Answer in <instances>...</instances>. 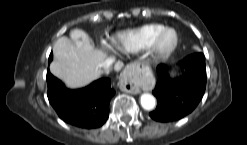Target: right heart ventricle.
<instances>
[{
	"instance_id": "obj_1",
	"label": "right heart ventricle",
	"mask_w": 247,
	"mask_h": 145,
	"mask_svg": "<svg viewBox=\"0 0 247 145\" xmlns=\"http://www.w3.org/2000/svg\"><path fill=\"white\" fill-rule=\"evenodd\" d=\"M164 27L159 23H149L117 34L114 47L126 53H138L148 48L154 35Z\"/></svg>"
}]
</instances>
